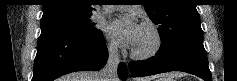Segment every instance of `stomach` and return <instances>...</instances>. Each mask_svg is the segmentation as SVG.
<instances>
[{
    "label": "stomach",
    "mask_w": 237,
    "mask_h": 81,
    "mask_svg": "<svg viewBox=\"0 0 237 81\" xmlns=\"http://www.w3.org/2000/svg\"><path fill=\"white\" fill-rule=\"evenodd\" d=\"M156 81H163L162 79H158V80H156Z\"/></svg>",
    "instance_id": "stomach-1"
}]
</instances>
